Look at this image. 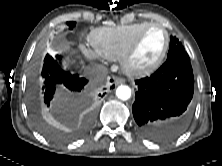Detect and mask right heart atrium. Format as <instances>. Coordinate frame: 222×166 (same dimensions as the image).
Returning <instances> with one entry per match:
<instances>
[{
  "label": "right heart atrium",
  "mask_w": 222,
  "mask_h": 166,
  "mask_svg": "<svg viewBox=\"0 0 222 166\" xmlns=\"http://www.w3.org/2000/svg\"><path fill=\"white\" fill-rule=\"evenodd\" d=\"M83 50H84V53L87 55V56H89V57H91V58H95L96 57V55L91 51V50H89L88 48H83Z\"/></svg>",
  "instance_id": "d8ad5b80"
}]
</instances>
